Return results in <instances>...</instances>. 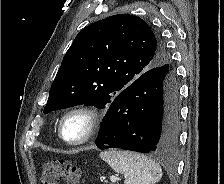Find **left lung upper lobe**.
<instances>
[{
  "mask_svg": "<svg viewBox=\"0 0 224 184\" xmlns=\"http://www.w3.org/2000/svg\"><path fill=\"white\" fill-rule=\"evenodd\" d=\"M163 65H170V56L141 18L118 14L97 21L66 52L44 113L82 104L108 107L140 75Z\"/></svg>",
  "mask_w": 224,
  "mask_h": 184,
  "instance_id": "1",
  "label": "left lung upper lobe"
}]
</instances>
